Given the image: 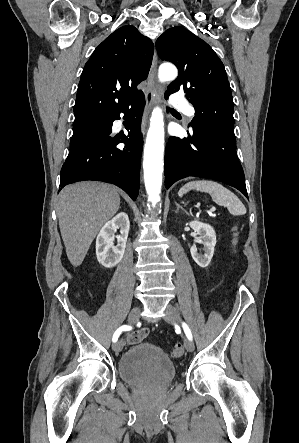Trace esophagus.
I'll list each match as a JSON object with an SVG mask.
<instances>
[{"instance_id": "1", "label": "esophagus", "mask_w": 299, "mask_h": 443, "mask_svg": "<svg viewBox=\"0 0 299 443\" xmlns=\"http://www.w3.org/2000/svg\"><path fill=\"white\" fill-rule=\"evenodd\" d=\"M157 62H158V58H157V52L155 50L154 55H153L151 69H150L149 76H148V86L145 91L146 104H145V109H144L142 123H141V131H142L143 135L145 134V130H146L147 122H148V117H149L151 108L158 100H160L162 93H163V89L160 86H158V84L156 82Z\"/></svg>"}]
</instances>
